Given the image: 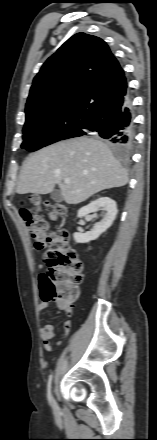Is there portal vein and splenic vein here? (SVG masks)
Returning a JSON list of instances; mask_svg holds the SVG:
<instances>
[{"mask_svg": "<svg viewBox=\"0 0 157 440\" xmlns=\"http://www.w3.org/2000/svg\"><path fill=\"white\" fill-rule=\"evenodd\" d=\"M64 182H65L66 184H68V183H70V179H65Z\"/></svg>", "mask_w": 157, "mask_h": 440, "instance_id": "portal-vein-and-splenic-vein-1", "label": "portal vein and splenic vein"}]
</instances>
